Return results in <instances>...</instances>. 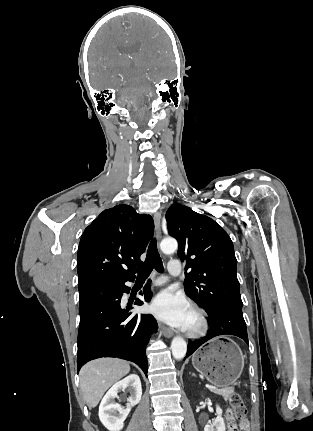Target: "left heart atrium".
Returning <instances> with one entry per match:
<instances>
[{
  "instance_id": "1",
  "label": "left heart atrium",
  "mask_w": 313,
  "mask_h": 431,
  "mask_svg": "<svg viewBox=\"0 0 313 431\" xmlns=\"http://www.w3.org/2000/svg\"><path fill=\"white\" fill-rule=\"evenodd\" d=\"M150 309L163 322L181 329L189 327L191 307L187 299L180 293L170 290L160 292L153 299Z\"/></svg>"
}]
</instances>
